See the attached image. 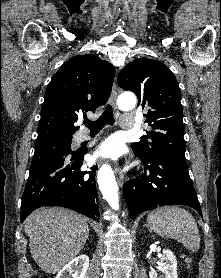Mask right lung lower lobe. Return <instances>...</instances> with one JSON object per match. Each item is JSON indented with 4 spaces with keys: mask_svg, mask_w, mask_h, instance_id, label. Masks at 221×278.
Instances as JSON below:
<instances>
[{
    "mask_svg": "<svg viewBox=\"0 0 221 278\" xmlns=\"http://www.w3.org/2000/svg\"><path fill=\"white\" fill-rule=\"evenodd\" d=\"M86 152L54 158L30 169L22 196L21 222L42 206H62L99 222L98 196L95 185L97 166L81 171Z\"/></svg>",
    "mask_w": 221,
    "mask_h": 278,
    "instance_id": "1",
    "label": "right lung lower lobe"
}]
</instances>
